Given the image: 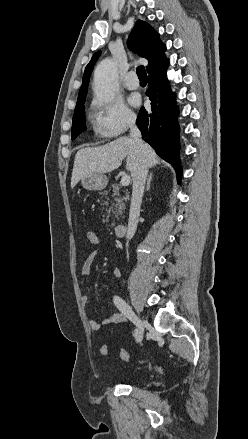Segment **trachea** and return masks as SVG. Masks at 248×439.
<instances>
[{
    "label": "trachea",
    "instance_id": "1",
    "mask_svg": "<svg viewBox=\"0 0 248 439\" xmlns=\"http://www.w3.org/2000/svg\"><path fill=\"white\" fill-rule=\"evenodd\" d=\"M136 73L140 80H147V73L144 66H138L136 69Z\"/></svg>",
    "mask_w": 248,
    "mask_h": 439
}]
</instances>
